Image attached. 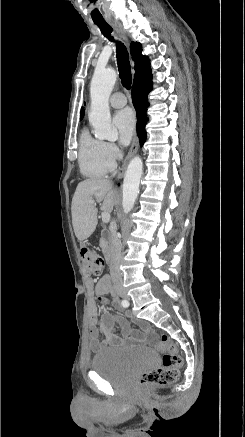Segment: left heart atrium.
I'll list each match as a JSON object with an SVG mask.
<instances>
[{"label":"left heart atrium","mask_w":245,"mask_h":437,"mask_svg":"<svg viewBox=\"0 0 245 437\" xmlns=\"http://www.w3.org/2000/svg\"><path fill=\"white\" fill-rule=\"evenodd\" d=\"M112 123L118 133L120 142L127 145L132 139L136 125V118L132 110L125 108L116 112Z\"/></svg>","instance_id":"obj_1"}]
</instances>
